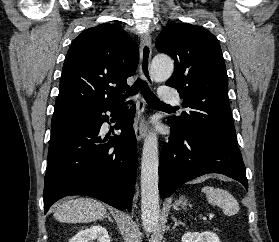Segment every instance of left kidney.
Instances as JSON below:
<instances>
[{
	"label": "left kidney",
	"instance_id": "obj_1",
	"mask_svg": "<svg viewBox=\"0 0 279 242\" xmlns=\"http://www.w3.org/2000/svg\"><path fill=\"white\" fill-rule=\"evenodd\" d=\"M182 242H220L216 233L211 231L187 232L182 236Z\"/></svg>",
	"mask_w": 279,
	"mask_h": 242
}]
</instances>
